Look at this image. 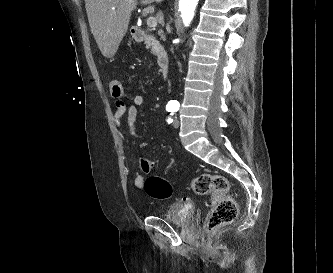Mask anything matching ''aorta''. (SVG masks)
<instances>
[{
	"mask_svg": "<svg viewBox=\"0 0 333 273\" xmlns=\"http://www.w3.org/2000/svg\"><path fill=\"white\" fill-rule=\"evenodd\" d=\"M199 0H179V11L185 27L193 20L195 9Z\"/></svg>",
	"mask_w": 333,
	"mask_h": 273,
	"instance_id": "1",
	"label": "aorta"
}]
</instances>
